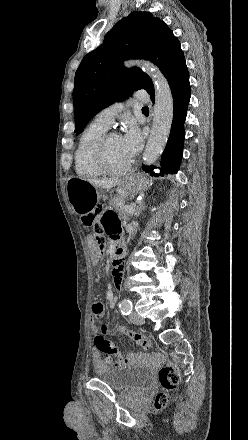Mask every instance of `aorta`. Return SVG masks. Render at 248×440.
<instances>
[{
	"label": "aorta",
	"instance_id": "aorta-1",
	"mask_svg": "<svg viewBox=\"0 0 248 440\" xmlns=\"http://www.w3.org/2000/svg\"><path fill=\"white\" fill-rule=\"evenodd\" d=\"M127 67L139 66L154 82L155 104L153 125L143 153L145 165L153 164L163 152L173 120V96L170 86L158 67L149 61L127 62Z\"/></svg>",
	"mask_w": 248,
	"mask_h": 440
}]
</instances>
